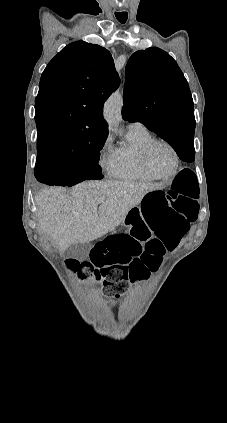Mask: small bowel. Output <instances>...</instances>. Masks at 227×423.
<instances>
[{"mask_svg": "<svg viewBox=\"0 0 227 423\" xmlns=\"http://www.w3.org/2000/svg\"><path fill=\"white\" fill-rule=\"evenodd\" d=\"M137 222H139V223H141V224H144L146 227H147V229L149 230V228H148V226H147V224H146V221L143 219V217H139L137 220H136ZM150 231V230H149ZM151 233V232H150ZM152 235V234H151ZM154 238V237H153ZM155 239V238H154ZM110 304H114L115 302L114 301H108Z\"/></svg>", "mask_w": 227, "mask_h": 423, "instance_id": "small-bowel-1", "label": "small bowel"}]
</instances>
